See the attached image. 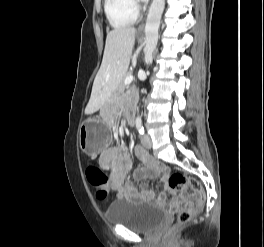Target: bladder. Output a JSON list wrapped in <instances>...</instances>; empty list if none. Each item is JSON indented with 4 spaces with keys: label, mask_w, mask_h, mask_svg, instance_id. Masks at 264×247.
<instances>
[{
    "label": "bladder",
    "mask_w": 264,
    "mask_h": 247,
    "mask_svg": "<svg viewBox=\"0 0 264 247\" xmlns=\"http://www.w3.org/2000/svg\"><path fill=\"white\" fill-rule=\"evenodd\" d=\"M111 224H121L133 231L151 233L167 220L166 211L156 205L128 199L112 202L106 213Z\"/></svg>",
    "instance_id": "1"
}]
</instances>
